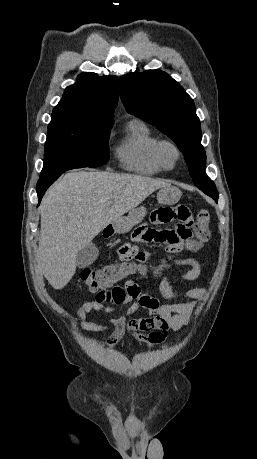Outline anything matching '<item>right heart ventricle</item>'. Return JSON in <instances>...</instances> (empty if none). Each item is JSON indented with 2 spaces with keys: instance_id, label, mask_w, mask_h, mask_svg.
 Returning <instances> with one entry per match:
<instances>
[{
  "instance_id": "right-heart-ventricle-1",
  "label": "right heart ventricle",
  "mask_w": 257,
  "mask_h": 459,
  "mask_svg": "<svg viewBox=\"0 0 257 459\" xmlns=\"http://www.w3.org/2000/svg\"><path fill=\"white\" fill-rule=\"evenodd\" d=\"M159 138L140 120L128 123L126 135L116 148V156L123 169L142 175H156L164 171L155 158Z\"/></svg>"
}]
</instances>
